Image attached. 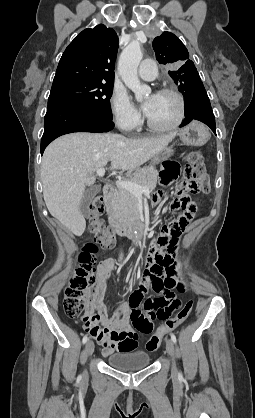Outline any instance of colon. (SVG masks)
I'll return each instance as SVG.
<instances>
[{
  "label": "colon",
  "instance_id": "1",
  "mask_svg": "<svg viewBox=\"0 0 255 418\" xmlns=\"http://www.w3.org/2000/svg\"><path fill=\"white\" fill-rule=\"evenodd\" d=\"M184 182L180 186V196L175 200L173 207L181 209L179 215L180 221L191 220L197 211L198 203L191 200L187 193H208L211 189L210 178L204 170L202 158L198 154H190L187 157V163L184 171ZM161 194L156 195V199ZM104 212L103 199L97 197L89 207V232L93 235V240L87 242L78 257V266L72 275L68 286L65 289L64 309L66 314L73 319H82L86 329H93L97 320L96 315L85 313L87 297L90 286L95 281L96 272V253L99 248L110 249L116 242L115 235L103 224L101 215ZM180 223L173 222L169 226L175 231ZM161 232L158 237H160ZM193 308V301H187L177 314L157 330V332L148 340L146 348L149 351H155L163 338L169 331L181 325L189 316Z\"/></svg>",
  "mask_w": 255,
  "mask_h": 418
}]
</instances>
